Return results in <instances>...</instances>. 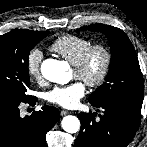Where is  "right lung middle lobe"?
Returning <instances> with one entry per match:
<instances>
[{"instance_id": "dd1d6c3e", "label": "right lung middle lobe", "mask_w": 147, "mask_h": 147, "mask_svg": "<svg viewBox=\"0 0 147 147\" xmlns=\"http://www.w3.org/2000/svg\"><path fill=\"white\" fill-rule=\"evenodd\" d=\"M49 34L32 30H13L0 36V102L21 103L29 83L28 59L30 50Z\"/></svg>"}]
</instances>
